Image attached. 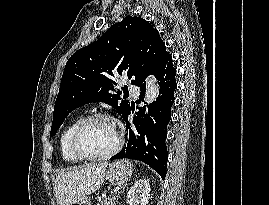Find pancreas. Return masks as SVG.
Masks as SVG:
<instances>
[{
	"label": "pancreas",
	"instance_id": "obj_1",
	"mask_svg": "<svg viewBox=\"0 0 269 205\" xmlns=\"http://www.w3.org/2000/svg\"><path fill=\"white\" fill-rule=\"evenodd\" d=\"M97 205H116V203H115V199L110 197V198L103 199Z\"/></svg>",
	"mask_w": 269,
	"mask_h": 205
}]
</instances>
